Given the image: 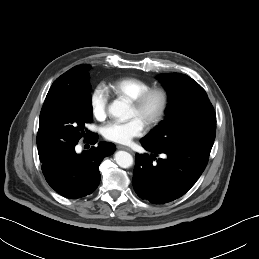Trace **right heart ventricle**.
Wrapping results in <instances>:
<instances>
[{
	"label": "right heart ventricle",
	"mask_w": 259,
	"mask_h": 259,
	"mask_svg": "<svg viewBox=\"0 0 259 259\" xmlns=\"http://www.w3.org/2000/svg\"><path fill=\"white\" fill-rule=\"evenodd\" d=\"M149 87V82L136 77L120 78L109 84V89L115 96L128 100L134 99Z\"/></svg>",
	"instance_id": "e07e8e85"
}]
</instances>
